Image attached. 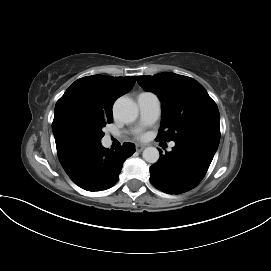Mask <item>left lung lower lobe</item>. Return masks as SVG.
Returning a JSON list of instances; mask_svg holds the SVG:
<instances>
[{
	"label": "left lung lower lobe",
	"mask_w": 271,
	"mask_h": 271,
	"mask_svg": "<svg viewBox=\"0 0 271 271\" xmlns=\"http://www.w3.org/2000/svg\"><path fill=\"white\" fill-rule=\"evenodd\" d=\"M218 145L194 139L175 142L171 152L150 167V182L168 194H180L196 187L205 176Z\"/></svg>",
	"instance_id": "1"
}]
</instances>
